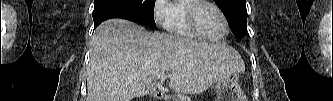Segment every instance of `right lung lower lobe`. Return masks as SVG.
<instances>
[{
	"label": "right lung lower lobe",
	"instance_id": "obj_1",
	"mask_svg": "<svg viewBox=\"0 0 333 101\" xmlns=\"http://www.w3.org/2000/svg\"><path fill=\"white\" fill-rule=\"evenodd\" d=\"M111 18H123L141 24L137 12L126 0L94 1L93 20L95 28L101 22Z\"/></svg>",
	"mask_w": 333,
	"mask_h": 101
}]
</instances>
